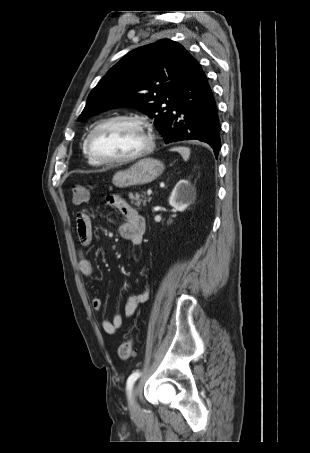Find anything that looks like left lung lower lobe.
I'll list each match as a JSON object with an SVG mask.
<instances>
[{
    "label": "left lung lower lobe",
    "mask_w": 310,
    "mask_h": 453,
    "mask_svg": "<svg viewBox=\"0 0 310 453\" xmlns=\"http://www.w3.org/2000/svg\"><path fill=\"white\" fill-rule=\"evenodd\" d=\"M220 131L213 92L198 61L192 57L186 79L160 133L166 143L182 140L207 143L217 158L221 148Z\"/></svg>",
    "instance_id": "1"
}]
</instances>
